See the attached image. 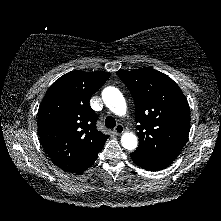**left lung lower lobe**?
Masks as SVG:
<instances>
[{
  "instance_id": "0a47b994",
  "label": "left lung lower lobe",
  "mask_w": 221,
  "mask_h": 221,
  "mask_svg": "<svg viewBox=\"0 0 221 221\" xmlns=\"http://www.w3.org/2000/svg\"><path fill=\"white\" fill-rule=\"evenodd\" d=\"M130 156L138 166L148 171H158L172 163V161L169 160L147 158L135 153H131Z\"/></svg>"
}]
</instances>
